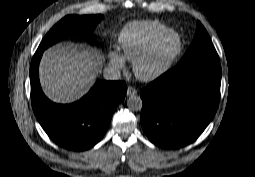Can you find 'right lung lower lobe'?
Listing matches in <instances>:
<instances>
[{"mask_svg":"<svg viewBox=\"0 0 255 177\" xmlns=\"http://www.w3.org/2000/svg\"><path fill=\"white\" fill-rule=\"evenodd\" d=\"M43 51H36L30 66L31 98L34 113L47 135L58 145L82 151L95 145L105 134L112 114L126 95L123 81H101L81 100L60 105L42 92L38 66Z\"/></svg>","mask_w":255,"mask_h":177,"instance_id":"right-lung-lower-lobe-1","label":"right lung lower lobe"}]
</instances>
